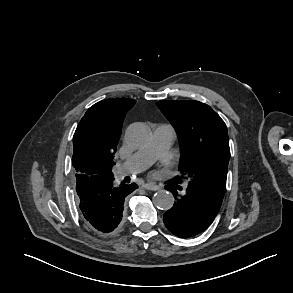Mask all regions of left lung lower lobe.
Wrapping results in <instances>:
<instances>
[{"mask_svg":"<svg viewBox=\"0 0 293 293\" xmlns=\"http://www.w3.org/2000/svg\"><path fill=\"white\" fill-rule=\"evenodd\" d=\"M175 203L163 216L168 230L180 238L193 237L203 232L218 214L223 197L207 192L199 185L172 181L166 186Z\"/></svg>","mask_w":293,"mask_h":293,"instance_id":"obj_1","label":"left lung lower lobe"}]
</instances>
